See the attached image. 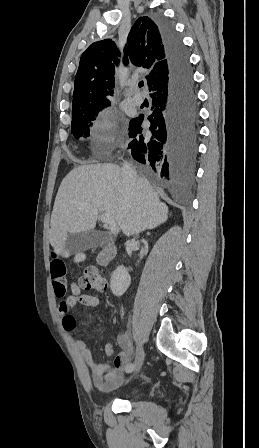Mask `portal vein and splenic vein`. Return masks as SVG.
<instances>
[{"label":"portal vein and splenic vein","instance_id":"1","mask_svg":"<svg viewBox=\"0 0 259 448\" xmlns=\"http://www.w3.org/2000/svg\"><path fill=\"white\" fill-rule=\"evenodd\" d=\"M100 220H101V222H103V224H108V226H109V228H111L113 234H116V232H118L117 224H116L115 220H113V218H111L110 214H102V216H100Z\"/></svg>","mask_w":259,"mask_h":448}]
</instances>
